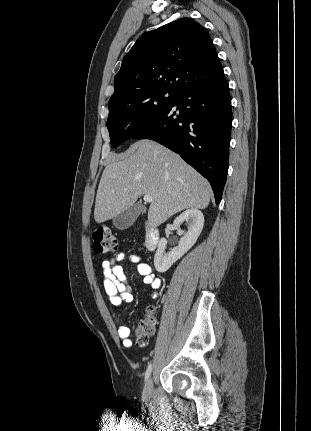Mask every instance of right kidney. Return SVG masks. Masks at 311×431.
<instances>
[{
  "instance_id": "obj_1",
  "label": "right kidney",
  "mask_w": 311,
  "mask_h": 431,
  "mask_svg": "<svg viewBox=\"0 0 311 431\" xmlns=\"http://www.w3.org/2000/svg\"><path fill=\"white\" fill-rule=\"evenodd\" d=\"M183 221H187L188 223V231H186V233H183V229L179 227ZM173 225L178 229L177 233H179V235L183 233V237H181L179 245L173 247L172 251H168V253L165 251L167 239L166 237H161L154 255V265L157 271H161V273L167 271V269L173 265L174 261L180 259V257L196 243V239H198L203 229L204 216L197 208H190V210H185L183 214L176 217L173 221Z\"/></svg>"
}]
</instances>
